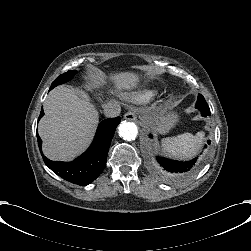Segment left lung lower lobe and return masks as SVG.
I'll return each instance as SVG.
<instances>
[{"label": "left lung lower lobe", "mask_w": 251, "mask_h": 251, "mask_svg": "<svg viewBox=\"0 0 251 251\" xmlns=\"http://www.w3.org/2000/svg\"><path fill=\"white\" fill-rule=\"evenodd\" d=\"M197 109L201 111V115L203 117L210 116V109ZM149 137L152 138V135H149ZM210 143L211 141L208 140V144ZM156 159L159 163V167L156 168L154 166V170L160 177L167 181H174L186 177L188 173L192 171V168L195 166L197 161V158L186 162L174 161L162 157H157Z\"/></svg>", "instance_id": "1"}]
</instances>
